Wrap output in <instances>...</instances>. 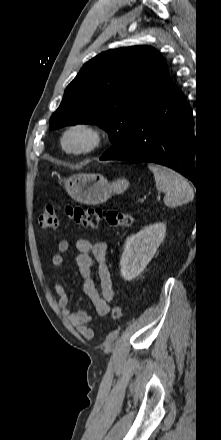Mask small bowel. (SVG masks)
<instances>
[{"label": "small bowel", "mask_w": 221, "mask_h": 440, "mask_svg": "<svg viewBox=\"0 0 221 440\" xmlns=\"http://www.w3.org/2000/svg\"><path fill=\"white\" fill-rule=\"evenodd\" d=\"M70 248V242L66 239L58 244V252L52 256V264L55 267L64 265V253ZM77 256L76 265L78 272L84 280V293L90 300L92 307L99 316H106L110 310V302L114 299L110 270L105 262L107 245L104 242L91 243L87 239H79L76 242ZM94 260L98 262L97 276L98 286L92 278ZM54 291L58 297V306L68 321L77 328L78 332L86 339L94 337V329L89 326L90 315L85 310L73 311L69 307V295L65 287L60 283L54 284Z\"/></svg>", "instance_id": "1"}]
</instances>
